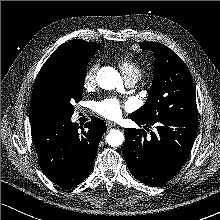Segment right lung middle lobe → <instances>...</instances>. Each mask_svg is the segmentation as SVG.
Returning a JSON list of instances; mask_svg holds the SVG:
<instances>
[{
	"label": "right lung middle lobe",
	"mask_w": 220,
	"mask_h": 220,
	"mask_svg": "<svg viewBox=\"0 0 220 220\" xmlns=\"http://www.w3.org/2000/svg\"><path fill=\"white\" fill-rule=\"evenodd\" d=\"M95 52H82L61 60L49 72L44 100L50 115L71 117L73 101L82 99L86 68Z\"/></svg>",
	"instance_id": "dd1d6c3e"
}]
</instances>
